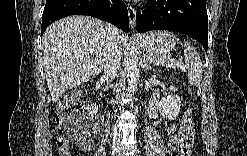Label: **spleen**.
<instances>
[{"label": "spleen", "mask_w": 247, "mask_h": 156, "mask_svg": "<svg viewBox=\"0 0 247 156\" xmlns=\"http://www.w3.org/2000/svg\"><path fill=\"white\" fill-rule=\"evenodd\" d=\"M184 56L189 83L192 86H199L202 80L203 65L199 53L189 42L184 43Z\"/></svg>", "instance_id": "spleen-1"}]
</instances>
